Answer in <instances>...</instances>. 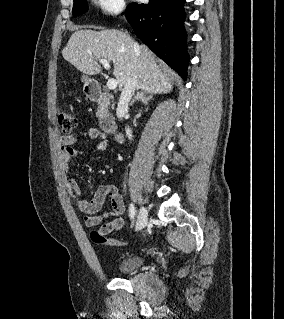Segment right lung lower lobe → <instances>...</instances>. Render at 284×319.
<instances>
[{
    "label": "right lung lower lobe",
    "mask_w": 284,
    "mask_h": 319,
    "mask_svg": "<svg viewBox=\"0 0 284 319\" xmlns=\"http://www.w3.org/2000/svg\"><path fill=\"white\" fill-rule=\"evenodd\" d=\"M185 0H149L131 3L126 18L136 36L183 78H187L189 56L183 27Z\"/></svg>",
    "instance_id": "right-lung-lower-lobe-1"
}]
</instances>
